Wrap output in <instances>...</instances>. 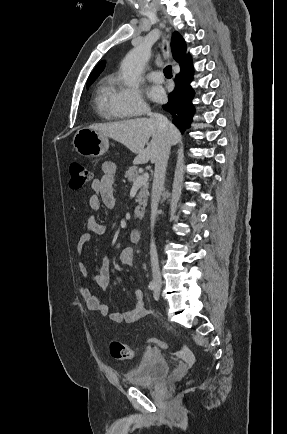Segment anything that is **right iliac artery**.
Returning a JSON list of instances; mask_svg holds the SVG:
<instances>
[{"instance_id": "82829eb1", "label": "right iliac artery", "mask_w": 287, "mask_h": 434, "mask_svg": "<svg viewBox=\"0 0 287 434\" xmlns=\"http://www.w3.org/2000/svg\"><path fill=\"white\" fill-rule=\"evenodd\" d=\"M156 288V283H155V281H151L150 283H149V289L150 290H154Z\"/></svg>"}]
</instances>
